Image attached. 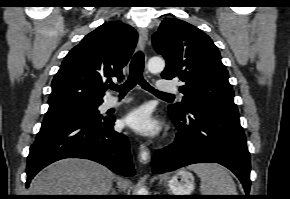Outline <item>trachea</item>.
<instances>
[{
	"instance_id": "trachea-1",
	"label": "trachea",
	"mask_w": 290,
	"mask_h": 199,
	"mask_svg": "<svg viewBox=\"0 0 290 199\" xmlns=\"http://www.w3.org/2000/svg\"><path fill=\"white\" fill-rule=\"evenodd\" d=\"M143 69H144V55L141 51H138L137 53H135L130 63V74L127 81L122 85L115 84L109 85V88L119 92L120 95L123 96L128 91H130L134 86L139 84L143 89L153 93L158 97L172 96V94L163 93L151 87L143 78Z\"/></svg>"
}]
</instances>
